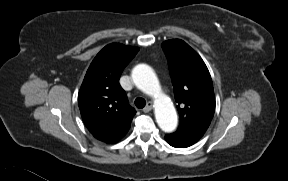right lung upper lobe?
Here are the masks:
<instances>
[{"label": "right lung upper lobe", "mask_w": 288, "mask_h": 181, "mask_svg": "<svg viewBox=\"0 0 288 181\" xmlns=\"http://www.w3.org/2000/svg\"><path fill=\"white\" fill-rule=\"evenodd\" d=\"M138 51L137 47L119 43L105 46L92 61L80 88L78 104L82 119L91 134L106 143L120 140L136 113L119 78Z\"/></svg>", "instance_id": "cb5924a9"}]
</instances>
